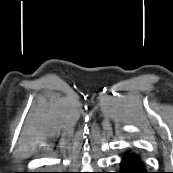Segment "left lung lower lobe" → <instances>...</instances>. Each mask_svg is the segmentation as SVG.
<instances>
[{"label":"left lung lower lobe","mask_w":173,"mask_h":173,"mask_svg":"<svg viewBox=\"0 0 173 173\" xmlns=\"http://www.w3.org/2000/svg\"><path fill=\"white\" fill-rule=\"evenodd\" d=\"M118 173H148L141 157L133 151H127L122 156L120 172Z\"/></svg>","instance_id":"obj_1"}]
</instances>
